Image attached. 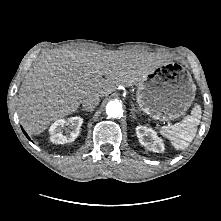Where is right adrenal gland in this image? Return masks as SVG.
Instances as JSON below:
<instances>
[{
    "mask_svg": "<svg viewBox=\"0 0 221 221\" xmlns=\"http://www.w3.org/2000/svg\"><path fill=\"white\" fill-rule=\"evenodd\" d=\"M82 111L92 112L93 110L83 108Z\"/></svg>",
    "mask_w": 221,
    "mask_h": 221,
    "instance_id": "obj_1",
    "label": "right adrenal gland"
}]
</instances>
